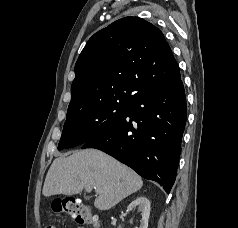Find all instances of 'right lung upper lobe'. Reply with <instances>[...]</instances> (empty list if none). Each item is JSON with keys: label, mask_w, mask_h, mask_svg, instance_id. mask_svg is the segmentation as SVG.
Segmentation results:
<instances>
[{"label": "right lung upper lobe", "mask_w": 238, "mask_h": 228, "mask_svg": "<svg viewBox=\"0 0 238 228\" xmlns=\"http://www.w3.org/2000/svg\"><path fill=\"white\" fill-rule=\"evenodd\" d=\"M180 78L162 32L138 17H125L95 33L76 65L67 114L101 102H129Z\"/></svg>", "instance_id": "obj_1"}]
</instances>
